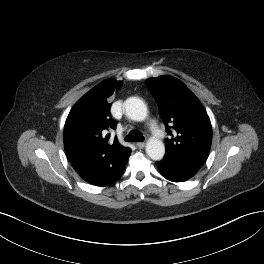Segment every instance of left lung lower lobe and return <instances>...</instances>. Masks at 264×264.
<instances>
[{"label":"left lung lower lobe","mask_w":264,"mask_h":264,"mask_svg":"<svg viewBox=\"0 0 264 264\" xmlns=\"http://www.w3.org/2000/svg\"><path fill=\"white\" fill-rule=\"evenodd\" d=\"M156 165L166 179L173 182H183L193 177L199 170L196 166L181 165L170 160L157 161Z\"/></svg>","instance_id":"1"}]
</instances>
